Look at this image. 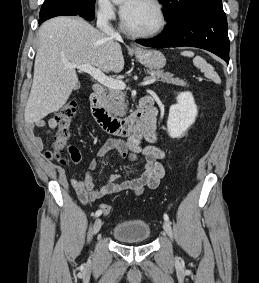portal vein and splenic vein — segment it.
Returning <instances> with one entry per match:
<instances>
[{"label": "portal vein and splenic vein", "instance_id": "18ae733b", "mask_svg": "<svg viewBox=\"0 0 259 283\" xmlns=\"http://www.w3.org/2000/svg\"><path fill=\"white\" fill-rule=\"evenodd\" d=\"M67 68H76L80 71L90 74L94 79H96L100 84L107 88L124 90L126 88L125 83L122 80L113 79L107 77L100 69L92 67L90 65H78V64H66ZM156 81L154 77H148L144 79L141 85H149Z\"/></svg>", "mask_w": 259, "mask_h": 283}]
</instances>
